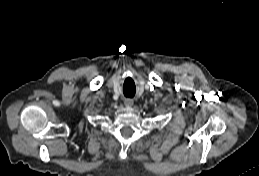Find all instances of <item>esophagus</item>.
Masks as SVG:
<instances>
[{
  "instance_id": "esophagus-1",
  "label": "esophagus",
  "mask_w": 259,
  "mask_h": 176,
  "mask_svg": "<svg viewBox=\"0 0 259 176\" xmlns=\"http://www.w3.org/2000/svg\"><path fill=\"white\" fill-rule=\"evenodd\" d=\"M124 104L126 105V106H132L133 105V100L132 99H126L125 101H124Z\"/></svg>"
}]
</instances>
